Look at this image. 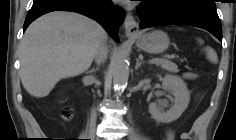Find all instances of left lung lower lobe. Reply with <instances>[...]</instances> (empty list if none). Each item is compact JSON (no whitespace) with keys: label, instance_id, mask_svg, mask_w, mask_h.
Here are the masks:
<instances>
[{"label":"left lung lower lobe","instance_id":"left-lung-lower-lobe-1","mask_svg":"<svg viewBox=\"0 0 236 140\" xmlns=\"http://www.w3.org/2000/svg\"><path fill=\"white\" fill-rule=\"evenodd\" d=\"M141 28L161 25H189L207 30L222 41V27L216 6L180 0H146L137 9Z\"/></svg>","mask_w":236,"mask_h":140}]
</instances>
